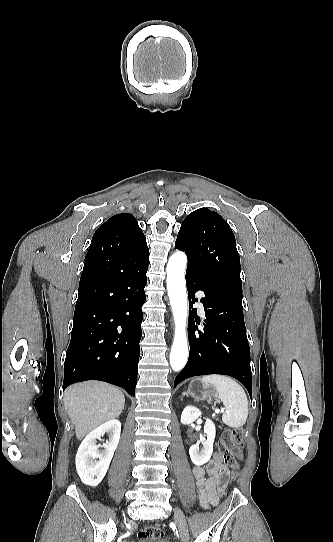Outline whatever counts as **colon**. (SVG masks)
<instances>
[{"instance_id": "1", "label": "colon", "mask_w": 333, "mask_h": 542, "mask_svg": "<svg viewBox=\"0 0 333 542\" xmlns=\"http://www.w3.org/2000/svg\"><path fill=\"white\" fill-rule=\"evenodd\" d=\"M244 431L241 428H225L222 438L218 443L219 451L224 461L235 476L240 469L241 450L243 447ZM231 477L228 475L221 480L220 490L224 491ZM163 531L160 527L147 526L138 533V538L143 542L159 541L163 538Z\"/></svg>"}]
</instances>
